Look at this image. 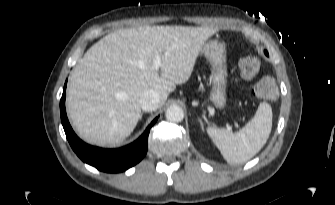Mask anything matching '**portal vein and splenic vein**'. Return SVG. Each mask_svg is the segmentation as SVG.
<instances>
[{
    "label": "portal vein and splenic vein",
    "mask_w": 335,
    "mask_h": 205,
    "mask_svg": "<svg viewBox=\"0 0 335 205\" xmlns=\"http://www.w3.org/2000/svg\"><path fill=\"white\" fill-rule=\"evenodd\" d=\"M160 67H161V58L159 55H157L156 58L154 59L153 68L155 70H158Z\"/></svg>",
    "instance_id": "1"
}]
</instances>
